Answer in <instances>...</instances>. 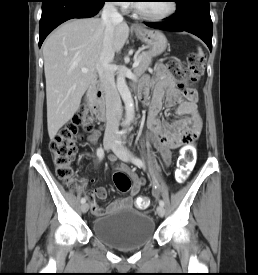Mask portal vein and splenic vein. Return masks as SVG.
<instances>
[{
	"label": "portal vein and splenic vein",
	"instance_id": "18ae733b",
	"mask_svg": "<svg viewBox=\"0 0 258 275\" xmlns=\"http://www.w3.org/2000/svg\"><path fill=\"white\" fill-rule=\"evenodd\" d=\"M140 59H136L135 62L133 63V68H136L139 65ZM82 72H87L86 68H82Z\"/></svg>",
	"mask_w": 258,
	"mask_h": 275
}]
</instances>
